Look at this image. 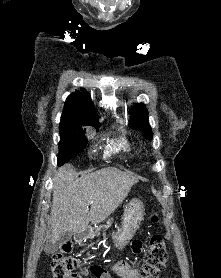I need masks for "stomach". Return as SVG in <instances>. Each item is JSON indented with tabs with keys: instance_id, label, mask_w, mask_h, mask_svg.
<instances>
[{
	"instance_id": "stomach-1",
	"label": "stomach",
	"mask_w": 221,
	"mask_h": 278,
	"mask_svg": "<svg viewBox=\"0 0 221 278\" xmlns=\"http://www.w3.org/2000/svg\"><path fill=\"white\" fill-rule=\"evenodd\" d=\"M144 206L139 199H132L124 210L122 228L113 236L116 247L122 249L133 238L135 232L139 228L143 216Z\"/></svg>"
}]
</instances>
